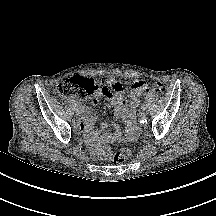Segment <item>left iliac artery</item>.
<instances>
[{"label": "left iliac artery", "instance_id": "obj_1", "mask_svg": "<svg viewBox=\"0 0 216 216\" xmlns=\"http://www.w3.org/2000/svg\"><path fill=\"white\" fill-rule=\"evenodd\" d=\"M141 106H142V107H145V106H146V103H145V102H142V103H141Z\"/></svg>", "mask_w": 216, "mask_h": 216}]
</instances>
